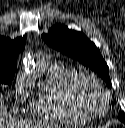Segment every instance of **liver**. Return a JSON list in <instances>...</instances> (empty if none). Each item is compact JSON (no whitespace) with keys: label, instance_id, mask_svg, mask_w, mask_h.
Wrapping results in <instances>:
<instances>
[{"label":"liver","instance_id":"1","mask_svg":"<svg viewBox=\"0 0 125 128\" xmlns=\"http://www.w3.org/2000/svg\"><path fill=\"white\" fill-rule=\"evenodd\" d=\"M3 97L0 94V128H6V126L11 125V118L7 115L6 112L2 111ZM35 127L38 128H52L51 125L40 124L38 123Z\"/></svg>","mask_w":125,"mask_h":128}]
</instances>
